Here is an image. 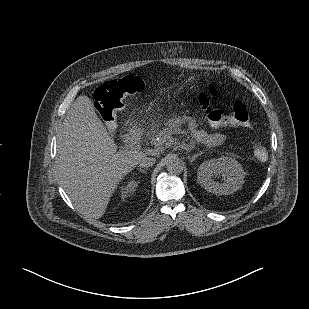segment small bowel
<instances>
[{"mask_svg":"<svg viewBox=\"0 0 309 309\" xmlns=\"http://www.w3.org/2000/svg\"><path fill=\"white\" fill-rule=\"evenodd\" d=\"M186 121L189 126L191 135L196 141L209 146H216L224 142L225 136L222 133H208L205 130L197 128L193 120L187 119Z\"/></svg>","mask_w":309,"mask_h":309,"instance_id":"small-bowel-1","label":"small bowel"}]
</instances>
